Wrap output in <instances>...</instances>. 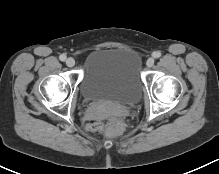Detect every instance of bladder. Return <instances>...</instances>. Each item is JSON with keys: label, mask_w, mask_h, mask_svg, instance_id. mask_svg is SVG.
<instances>
[{"label": "bladder", "mask_w": 219, "mask_h": 174, "mask_svg": "<svg viewBox=\"0 0 219 174\" xmlns=\"http://www.w3.org/2000/svg\"><path fill=\"white\" fill-rule=\"evenodd\" d=\"M142 90L140 58L134 50L99 48L87 55L79 82L84 100L133 105L139 101Z\"/></svg>", "instance_id": "31cf9c89"}]
</instances>
